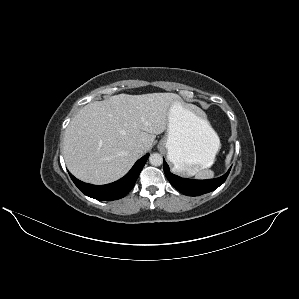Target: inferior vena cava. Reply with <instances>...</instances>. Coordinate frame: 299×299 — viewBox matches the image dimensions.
I'll return each instance as SVG.
<instances>
[{
  "mask_svg": "<svg viewBox=\"0 0 299 299\" xmlns=\"http://www.w3.org/2000/svg\"><path fill=\"white\" fill-rule=\"evenodd\" d=\"M135 150H136L137 153H143L144 152V146L142 144H138L135 147Z\"/></svg>",
  "mask_w": 299,
  "mask_h": 299,
  "instance_id": "1",
  "label": "inferior vena cava"
}]
</instances>
